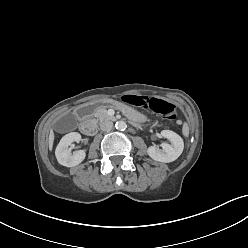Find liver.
I'll list each match as a JSON object with an SVG mask.
<instances>
[{"mask_svg": "<svg viewBox=\"0 0 248 248\" xmlns=\"http://www.w3.org/2000/svg\"><path fill=\"white\" fill-rule=\"evenodd\" d=\"M53 142H54V133H53V131L51 130V131H50V134H49V148H50V150H51L52 147H53Z\"/></svg>", "mask_w": 248, "mask_h": 248, "instance_id": "6515ba94", "label": "liver"}]
</instances>
